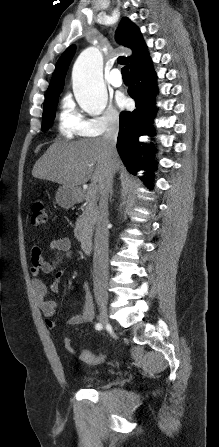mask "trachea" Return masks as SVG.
Listing matches in <instances>:
<instances>
[{
    "label": "trachea",
    "instance_id": "trachea-1",
    "mask_svg": "<svg viewBox=\"0 0 219 447\" xmlns=\"http://www.w3.org/2000/svg\"><path fill=\"white\" fill-rule=\"evenodd\" d=\"M121 73H122V77L123 78H129V66H125V67H123L122 68V70H121Z\"/></svg>",
    "mask_w": 219,
    "mask_h": 447
}]
</instances>
